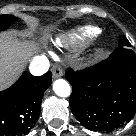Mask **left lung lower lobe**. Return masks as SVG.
I'll use <instances>...</instances> for the list:
<instances>
[{
  "label": "left lung lower lobe",
  "instance_id": "1",
  "mask_svg": "<svg viewBox=\"0 0 136 136\" xmlns=\"http://www.w3.org/2000/svg\"><path fill=\"white\" fill-rule=\"evenodd\" d=\"M70 108L91 130L111 131L136 112V55L118 47L110 57L79 72L68 71Z\"/></svg>",
  "mask_w": 136,
  "mask_h": 136
}]
</instances>
